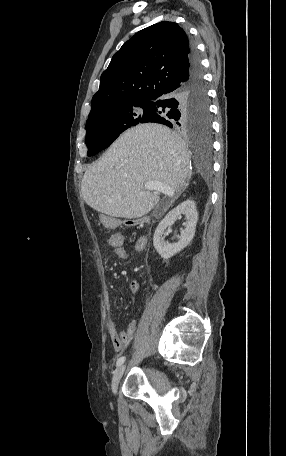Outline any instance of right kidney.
Returning a JSON list of instances; mask_svg holds the SVG:
<instances>
[{
  "label": "right kidney",
  "instance_id": "obj_1",
  "mask_svg": "<svg viewBox=\"0 0 286 456\" xmlns=\"http://www.w3.org/2000/svg\"><path fill=\"white\" fill-rule=\"evenodd\" d=\"M181 215H185L186 227L181 231V236L177 243H168L163 238L165 230L172 226ZM197 221L196 204L191 199H187L172 209L158 224L153 236V244L159 255L167 260L187 247L194 237Z\"/></svg>",
  "mask_w": 286,
  "mask_h": 456
}]
</instances>
